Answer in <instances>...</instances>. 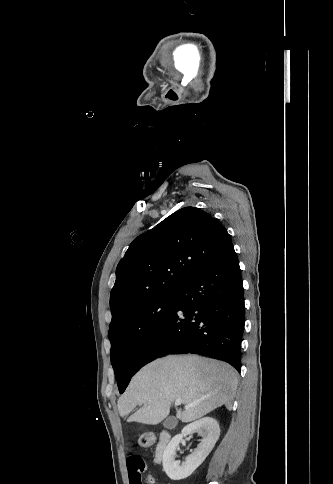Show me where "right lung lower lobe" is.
<instances>
[{"mask_svg":"<svg viewBox=\"0 0 333 484\" xmlns=\"http://www.w3.org/2000/svg\"><path fill=\"white\" fill-rule=\"evenodd\" d=\"M244 309L232 245L179 290L174 309L142 348L132 375L157 357L185 353L227 361L240 372Z\"/></svg>","mask_w":333,"mask_h":484,"instance_id":"98d812e1","label":"right lung lower lobe"}]
</instances>
